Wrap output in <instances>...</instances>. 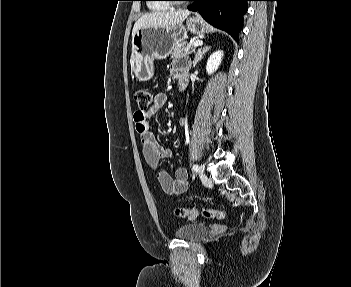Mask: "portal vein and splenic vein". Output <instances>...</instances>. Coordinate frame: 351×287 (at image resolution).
I'll list each match as a JSON object with an SVG mask.
<instances>
[{"instance_id": "portal-vein-and-splenic-vein-1", "label": "portal vein and splenic vein", "mask_w": 351, "mask_h": 287, "mask_svg": "<svg viewBox=\"0 0 351 287\" xmlns=\"http://www.w3.org/2000/svg\"><path fill=\"white\" fill-rule=\"evenodd\" d=\"M201 45H203V42L200 40H197V41L193 42V44H192L193 47H197V46H201Z\"/></svg>"}]
</instances>
